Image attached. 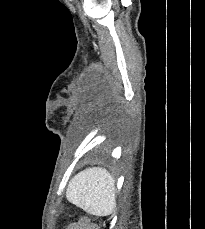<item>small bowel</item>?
<instances>
[{"mask_svg":"<svg viewBox=\"0 0 205 229\" xmlns=\"http://www.w3.org/2000/svg\"><path fill=\"white\" fill-rule=\"evenodd\" d=\"M71 229H96V228L92 226L89 222L83 221L73 226Z\"/></svg>","mask_w":205,"mask_h":229,"instance_id":"1","label":"small bowel"}]
</instances>
